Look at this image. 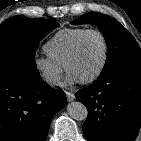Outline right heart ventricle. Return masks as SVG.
Segmentation results:
<instances>
[{"instance_id":"right-heart-ventricle-1","label":"right heart ventricle","mask_w":141,"mask_h":141,"mask_svg":"<svg viewBox=\"0 0 141 141\" xmlns=\"http://www.w3.org/2000/svg\"><path fill=\"white\" fill-rule=\"evenodd\" d=\"M83 27L59 30L44 45L47 55L58 64L65 66L66 59L78 37L85 31Z\"/></svg>"}]
</instances>
